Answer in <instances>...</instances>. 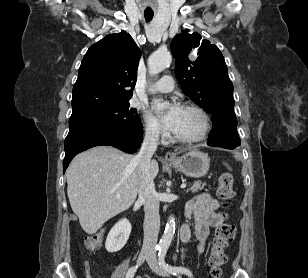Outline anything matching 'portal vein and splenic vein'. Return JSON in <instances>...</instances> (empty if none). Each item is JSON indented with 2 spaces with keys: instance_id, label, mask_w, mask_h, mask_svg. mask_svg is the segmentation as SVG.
<instances>
[{
  "instance_id": "obj_1",
  "label": "portal vein and splenic vein",
  "mask_w": 308,
  "mask_h": 278,
  "mask_svg": "<svg viewBox=\"0 0 308 278\" xmlns=\"http://www.w3.org/2000/svg\"><path fill=\"white\" fill-rule=\"evenodd\" d=\"M186 186H187L186 184H182V185H181V188H182V189H185ZM116 198H117V199H120V196L118 195V196H116Z\"/></svg>"
}]
</instances>
